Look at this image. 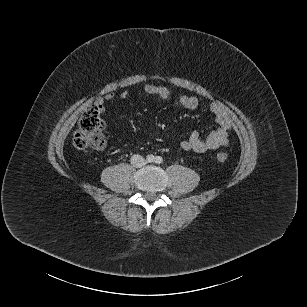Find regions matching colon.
I'll return each instance as SVG.
<instances>
[{
    "label": "colon",
    "instance_id": "obj_1",
    "mask_svg": "<svg viewBox=\"0 0 307 307\" xmlns=\"http://www.w3.org/2000/svg\"><path fill=\"white\" fill-rule=\"evenodd\" d=\"M104 123L100 117L99 109L93 105L88 107L82 114L77 129L73 134V145L77 149L93 148L102 150L105 147L103 135ZM228 156L225 152L217 153V160L224 163Z\"/></svg>",
    "mask_w": 307,
    "mask_h": 307
}]
</instances>
